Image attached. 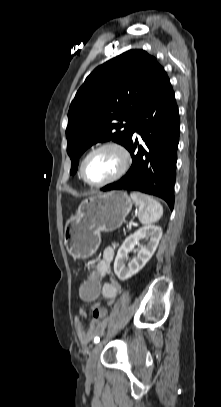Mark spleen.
Wrapping results in <instances>:
<instances>
[{
	"label": "spleen",
	"mask_w": 221,
	"mask_h": 407,
	"mask_svg": "<svg viewBox=\"0 0 221 407\" xmlns=\"http://www.w3.org/2000/svg\"><path fill=\"white\" fill-rule=\"evenodd\" d=\"M130 196L139 207L138 218L142 224H152L162 217L163 207L153 197L140 192H131Z\"/></svg>",
	"instance_id": "obj_1"
}]
</instances>
